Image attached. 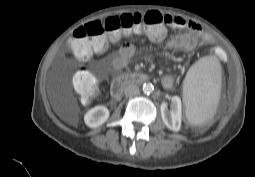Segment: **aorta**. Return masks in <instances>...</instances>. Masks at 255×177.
<instances>
[{
    "mask_svg": "<svg viewBox=\"0 0 255 177\" xmlns=\"http://www.w3.org/2000/svg\"><path fill=\"white\" fill-rule=\"evenodd\" d=\"M142 89L145 94H151L154 90V86L151 83H145Z\"/></svg>",
    "mask_w": 255,
    "mask_h": 177,
    "instance_id": "762f6f07",
    "label": "aorta"
}]
</instances>
